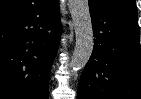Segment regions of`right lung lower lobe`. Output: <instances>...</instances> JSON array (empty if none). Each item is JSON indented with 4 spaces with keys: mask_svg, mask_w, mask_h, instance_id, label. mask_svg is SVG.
Returning a JSON list of instances; mask_svg holds the SVG:
<instances>
[{
    "mask_svg": "<svg viewBox=\"0 0 141 99\" xmlns=\"http://www.w3.org/2000/svg\"><path fill=\"white\" fill-rule=\"evenodd\" d=\"M60 35L58 0H29L0 14V99H48Z\"/></svg>",
    "mask_w": 141,
    "mask_h": 99,
    "instance_id": "right-lung-lower-lobe-1",
    "label": "right lung lower lobe"
}]
</instances>
